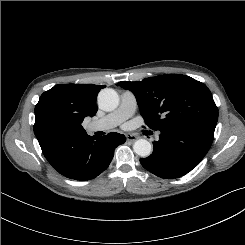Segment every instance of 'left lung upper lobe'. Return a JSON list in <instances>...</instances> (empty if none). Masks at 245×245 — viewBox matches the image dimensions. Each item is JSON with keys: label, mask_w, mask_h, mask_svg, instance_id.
<instances>
[{"label": "left lung upper lobe", "mask_w": 245, "mask_h": 245, "mask_svg": "<svg viewBox=\"0 0 245 245\" xmlns=\"http://www.w3.org/2000/svg\"><path fill=\"white\" fill-rule=\"evenodd\" d=\"M117 85L133 92L150 128L194 127L214 134L218 108L205 84L186 75L165 74Z\"/></svg>", "instance_id": "1"}]
</instances>
